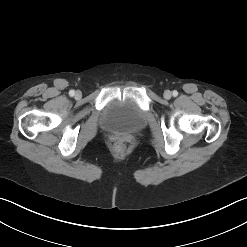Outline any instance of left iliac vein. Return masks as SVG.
Masks as SVG:
<instances>
[{
    "instance_id": "1",
    "label": "left iliac vein",
    "mask_w": 247,
    "mask_h": 247,
    "mask_svg": "<svg viewBox=\"0 0 247 247\" xmlns=\"http://www.w3.org/2000/svg\"><path fill=\"white\" fill-rule=\"evenodd\" d=\"M163 96H164L165 99H170L171 96H172V93H171V91L166 90V91L164 92Z\"/></svg>"
}]
</instances>
